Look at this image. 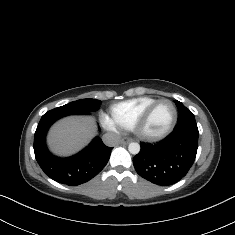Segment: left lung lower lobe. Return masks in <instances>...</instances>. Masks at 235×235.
<instances>
[{"instance_id": "1", "label": "left lung lower lobe", "mask_w": 235, "mask_h": 235, "mask_svg": "<svg viewBox=\"0 0 235 235\" xmlns=\"http://www.w3.org/2000/svg\"><path fill=\"white\" fill-rule=\"evenodd\" d=\"M198 134V130L183 128L154 145L140 143L141 150L133 158L136 172L158 185L178 182L195 161Z\"/></svg>"}]
</instances>
